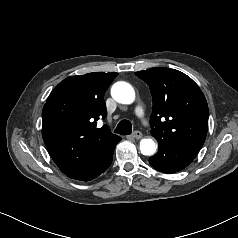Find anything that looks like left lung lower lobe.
Wrapping results in <instances>:
<instances>
[{
    "mask_svg": "<svg viewBox=\"0 0 238 238\" xmlns=\"http://www.w3.org/2000/svg\"><path fill=\"white\" fill-rule=\"evenodd\" d=\"M198 154V150L159 142L158 152L149 158L150 165L164 173H175L187 167Z\"/></svg>",
    "mask_w": 238,
    "mask_h": 238,
    "instance_id": "1",
    "label": "left lung lower lobe"
}]
</instances>
